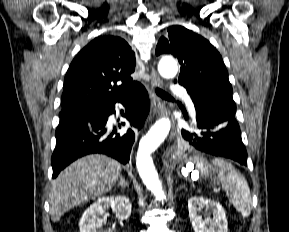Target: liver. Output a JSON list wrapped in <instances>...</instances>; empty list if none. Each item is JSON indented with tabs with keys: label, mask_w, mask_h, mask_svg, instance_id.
<instances>
[{
	"label": "liver",
	"mask_w": 289,
	"mask_h": 232,
	"mask_svg": "<svg viewBox=\"0 0 289 232\" xmlns=\"http://www.w3.org/2000/svg\"><path fill=\"white\" fill-rule=\"evenodd\" d=\"M121 174V165L102 154L82 157L52 181L50 215L58 222L73 207L109 192Z\"/></svg>",
	"instance_id": "1"
}]
</instances>
